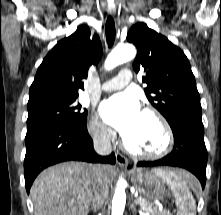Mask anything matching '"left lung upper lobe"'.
Here are the masks:
<instances>
[{
  "label": "left lung upper lobe",
  "instance_id": "obj_1",
  "mask_svg": "<svg viewBox=\"0 0 221 215\" xmlns=\"http://www.w3.org/2000/svg\"><path fill=\"white\" fill-rule=\"evenodd\" d=\"M127 41L137 47L133 69L146 73L147 98L168 123L179 113L201 117L200 96L184 52L144 23L131 27Z\"/></svg>",
  "mask_w": 221,
  "mask_h": 215
}]
</instances>
